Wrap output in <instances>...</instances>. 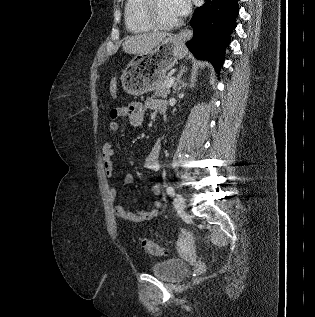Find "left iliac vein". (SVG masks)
I'll use <instances>...</instances> for the list:
<instances>
[{"instance_id":"obj_1","label":"left iliac vein","mask_w":315,"mask_h":317,"mask_svg":"<svg viewBox=\"0 0 315 317\" xmlns=\"http://www.w3.org/2000/svg\"><path fill=\"white\" fill-rule=\"evenodd\" d=\"M184 198L182 195L178 194L176 195L175 199H174V206L177 210H182L184 208Z\"/></svg>"}]
</instances>
